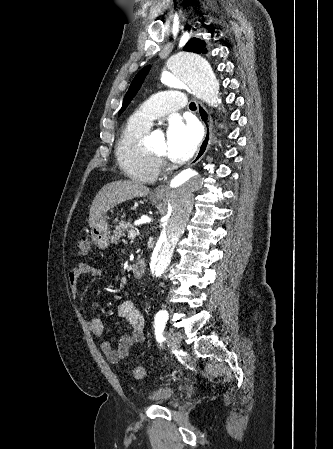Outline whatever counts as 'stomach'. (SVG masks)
Masks as SVG:
<instances>
[{"label":"stomach","instance_id":"stomach-1","mask_svg":"<svg viewBox=\"0 0 333 449\" xmlns=\"http://www.w3.org/2000/svg\"><path fill=\"white\" fill-rule=\"evenodd\" d=\"M154 200H160V198H154ZM91 238L98 248H107L109 245L110 230L106 216H102L94 226H92Z\"/></svg>","mask_w":333,"mask_h":449}]
</instances>
